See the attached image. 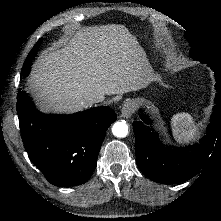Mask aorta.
Returning <instances> with one entry per match:
<instances>
[{"label": "aorta", "mask_w": 221, "mask_h": 221, "mask_svg": "<svg viewBox=\"0 0 221 221\" xmlns=\"http://www.w3.org/2000/svg\"><path fill=\"white\" fill-rule=\"evenodd\" d=\"M112 133L118 138L126 137L128 134V126L125 121H118L112 127Z\"/></svg>", "instance_id": "obj_1"}]
</instances>
